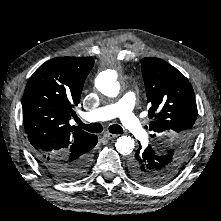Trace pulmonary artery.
Segmentation results:
<instances>
[{
    "mask_svg": "<svg viewBox=\"0 0 221 221\" xmlns=\"http://www.w3.org/2000/svg\"><path fill=\"white\" fill-rule=\"evenodd\" d=\"M135 96L126 92L117 102L102 106L83 115L87 121L98 122L119 117L123 126L136 138L145 139L147 131L134 114Z\"/></svg>",
    "mask_w": 221,
    "mask_h": 221,
    "instance_id": "e3ab8cb5",
    "label": "pulmonary artery"
}]
</instances>
